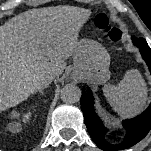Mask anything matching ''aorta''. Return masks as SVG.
Returning <instances> with one entry per match:
<instances>
[{
  "mask_svg": "<svg viewBox=\"0 0 151 151\" xmlns=\"http://www.w3.org/2000/svg\"><path fill=\"white\" fill-rule=\"evenodd\" d=\"M80 99V90L74 85H66L61 90V100L67 104L77 103Z\"/></svg>",
  "mask_w": 151,
  "mask_h": 151,
  "instance_id": "obj_1",
  "label": "aorta"
}]
</instances>
